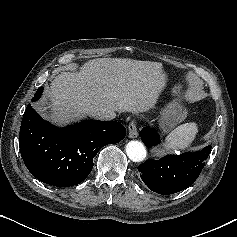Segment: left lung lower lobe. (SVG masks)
<instances>
[{
	"label": "left lung lower lobe",
	"instance_id": "obj_1",
	"mask_svg": "<svg viewBox=\"0 0 237 237\" xmlns=\"http://www.w3.org/2000/svg\"><path fill=\"white\" fill-rule=\"evenodd\" d=\"M139 134L148 148L160 143L158 133L150 127L143 128ZM210 151L211 145H208L197 152L149 159L138 171L150 190L161 195L173 194L186 189L198 178Z\"/></svg>",
	"mask_w": 237,
	"mask_h": 237
}]
</instances>
